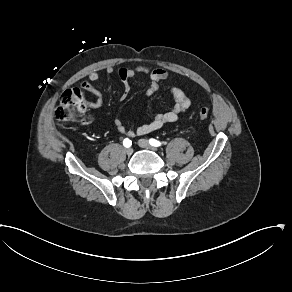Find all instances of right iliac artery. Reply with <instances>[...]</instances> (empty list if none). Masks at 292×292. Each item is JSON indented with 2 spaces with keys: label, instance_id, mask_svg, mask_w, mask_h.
Wrapping results in <instances>:
<instances>
[{
  "label": "right iliac artery",
  "instance_id": "obj_1",
  "mask_svg": "<svg viewBox=\"0 0 292 292\" xmlns=\"http://www.w3.org/2000/svg\"><path fill=\"white\" fill-rule=\"evenodd\" d=\"M131 144H132V142H131V140L129 139V138H125L124 140H123V145L125 146V147H130L131 146Z\"/></svg>",
  "mask_w": 292,
  "mask_h": 292
}]
</instances>
